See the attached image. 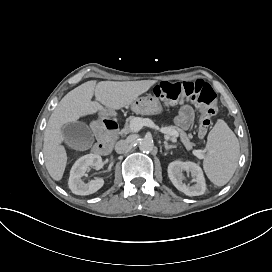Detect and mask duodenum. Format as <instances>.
Instances as JSON below:
<instances>
[{
    "instance_id": "obj_1",
    "label": "duodenum",
    "mask_w": 272,
    "mask_h": 272,
    "mask_svg": "<svg viewBox=\"0 0 272 272\" xmlns=\"http://www.w3.org/2000/svg\"><path fill=\"white\" fill-rule=\"evenodd\" d=\"M98 141L94 152L106 155L110 152L113 142L118 134V124L112 119H100L95 127Z\"/></svg>"
}]
</instances>
